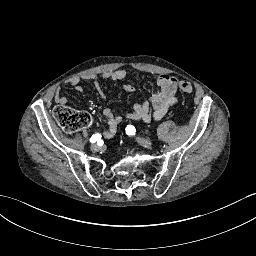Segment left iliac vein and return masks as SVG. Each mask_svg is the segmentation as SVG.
Masks as SVG:
<instances>
[{"label":"left iliac vein","mask_w":256,"mask_h":256,"mask_svg":"<svg viewBox=\"0 0 256 256\" xmlns=\"http://www.w3.org/2000/svg\"><path fill=\"white\" fill-rule=\"evenodd\" d=\"M137 141L141 146L145 148H151L153 146L152 141L146 138H137Z\"/></svg>","instance_id":"1"}]
</instances>
